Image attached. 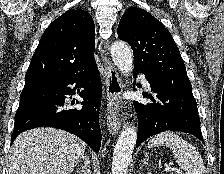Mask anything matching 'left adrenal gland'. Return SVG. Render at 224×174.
<instances>
[{"label":"left adrenal gland","instance_id":"1","mask_svg":"<svg viewBox=\"0 0 224 174\" xmlns=\"http://www.w3.org/2000/svg\"><path fill=\"white\" fill-rule=\"evenodd\" d=\"M146 165H148V159H144V160H143L142 167H143V166H146Z\"/></svg>","mask_w":224,"mask_h":174}]
</instances>
